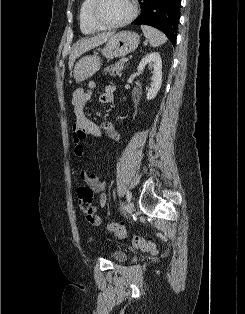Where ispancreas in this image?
I'll return each instance as SVG.
<instances>
[{
	"label": "pancreas",
	"instance_id": "1",
	"mask_svg": "<svg viewBox=\"0 0 245 314\" xmlns=\"http://www.w3.org/2000/svg\"><path fill=\"white\" fill-rule=\"evenodd\" d=\"M124 70V60L120 59L115 65H111L105 69V74H109L111 76H122V72Z\"/></svg>",
	"mask_w": 245,
	"mask_h": 314
}]
</instances>
